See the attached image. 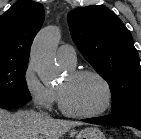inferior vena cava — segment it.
I'll use <instances>...</instances> for the list:
<instances>
[{
	"mask_svg": "<svg viewBox=\"0 0 141 139\" xmlns=\"http://www.w3.org/2000/svg\"><path fill=\"white\" fill-rule=\"evenodd\" d=\"M39 114H40L41 116H43V117H48V114L45 113V112H40Z\"/></svg>",
	"mask_w": 141,
	"mask_h": 139,
	"instance_id": "1",
	"label": "inferior vena cava"
}]
</instances>
